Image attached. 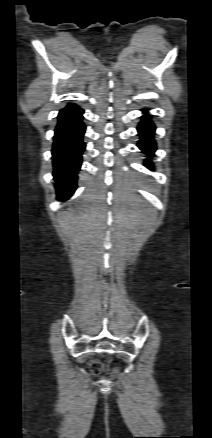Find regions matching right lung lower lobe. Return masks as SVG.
Listing matches in <instances>:
<instances>
[{
    "label": "right lung lower lobe",
    "mask_w": 212,
    "mask_h": 438,
    "mask_svg": "<svg viewBox=\"0 0 212 438\" xmlns=\"http://www.w3.org/2000/svg\"><path fill=\"white\" fill-rule=\"evenodd\" d=\"M83 113L77 105L69 104L58 115L52 155L53 176L59 200L69 198L76 189L77 173L86 146L82 140L85 132Z\"/></svg>",
    "instance_id": "98d812e1"
}]
</instances>
